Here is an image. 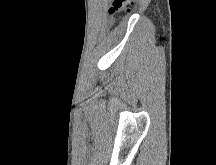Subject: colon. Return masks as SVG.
Returning <instances> with one entry per match:
<instances>
[{
  "label": "colon",
  "instance_id": "5ec220e1",
  "mask_svg": "<svg viewBox=\"0 0 216 165\" xmlns=\"http://www.w3.org/2000/svg\"><path fill=\"white\" fill-rule=\"evenodd\" d=\"M135 0H114L112 7L109 9L110 15H117L123 12H130L135 6Z\"/></svg>",
  "mask_w": 216,
  "mask_h": 165
}]
</instances>
